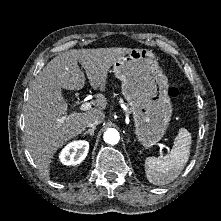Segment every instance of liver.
Listing matches in <instances>:
<instances>
[{
  "mask_svg": "<svg viewBox=\"0 0 221 221\" xmlns=\"http://www.w3.org/2000/svg\"><path fill=\"white\" fill-rule=\"evenodd\" d=\"M130 48L71 49L54 57L38 74L29 90L25 108V144L40 173L50 177V164L56 151L81 134L96 117L103 121L107 99L97 94L96 108L67 113L61 89L81 90L85 86L84 68L91 87L105 91L108 72Z\"/></svg>",
  "mask_w": 221,
  "mask_h": 221,
  "instance_id": "6515ba94",
  "label": "liver"
}]
</instances>
